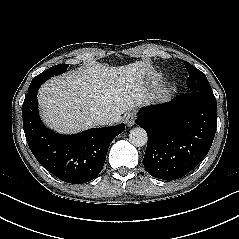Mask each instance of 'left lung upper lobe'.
<instances>
[{
	"instance_id": "left-lung-upper-lobe-1",
	"label": "left lung upper lobe",
	"mask_w": 239,
	"mask_h": 239,
	"mask_svg": "<svg viewBox=\"0 0 239 239\" xmlns=\"http://www.w3.org/2000/svg\"><path fill=\"white\" fill-rule=\"evenodd\" d=\"M185 67L189 74L186 84L189 87L191 92H196V91L213 92L203 72H201L199 69L192 66L190 63L186 61H185Z\"/></svg>"
}]
</instances>
